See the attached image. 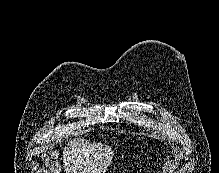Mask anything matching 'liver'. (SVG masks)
Listing matches in <instances>:
<instances>
[{
  "label": "liver",
  "instance_id": "liver-1",
  "mask_svg": "<svg viewBox=\"0 0 219 173\" xmlns=\"http://www.w3.org/2000/svg\"><path fill=\"white\" fill-rule=\"evenodd\" d=\"M111 147L90 143L79 138L67 144L63 151L66 173H104L111 162Z\"/></svg>",
  "mask_w": 219,
  "mask_h": 173
}]
</instances>
